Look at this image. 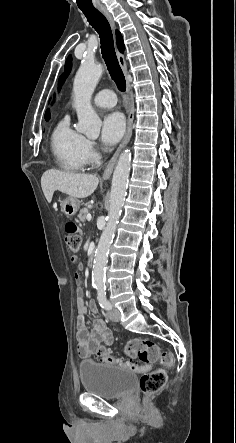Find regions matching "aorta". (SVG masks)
I'll return each instance as SVG.
<instances>
[{
    "mask_svg": "<svg viewBox=\"0 0 236 443\" xmlns=\"http://www.w3.org/2000/svg\"><path fill=\"white\" fill-rule=\"evenodd\" d=\"M102 72L103 67L100 64L84 61L78 69L73 83V106L78 117L76 130L89 138L99 136L102 124L91 105V97ZM130 161L131 153L129 150H125L120 155L113 173L107 225L100 237L92 270V283L98 288L103 287L105 283L108 253L125 200Z\"/></svg>",
    "mask_w": 236,
    "mask_h": 443,
    "instance_id": "aorta-1",
    "label": "aorta"
}]
</instances>
